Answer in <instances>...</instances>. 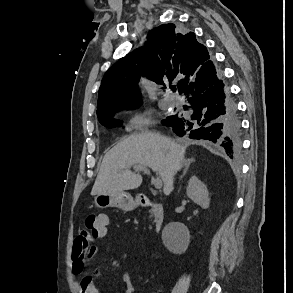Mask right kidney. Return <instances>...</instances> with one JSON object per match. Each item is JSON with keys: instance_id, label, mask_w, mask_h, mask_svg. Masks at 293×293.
Segmentation results:
<instances>
[{"instance_id": "ca27d5eb", "label": "right kidney", "mask_w": 293, "mask_h": 293, "mask_svg": "<svg viewBox=\"0 0 293 293\" xmlns=\"http://www.w3.org/2000/svg\"><path fill=\"white\" fill-rule=\"evenodd\" d=\"M187 196L203 209L209 207L210 198L207 187L196 176H192L188 182ZM189 237L188 229L178 223L167 225L162 232L163 244L173 253L184 251L189 244Z\"/></svg>"}]
</instances>
